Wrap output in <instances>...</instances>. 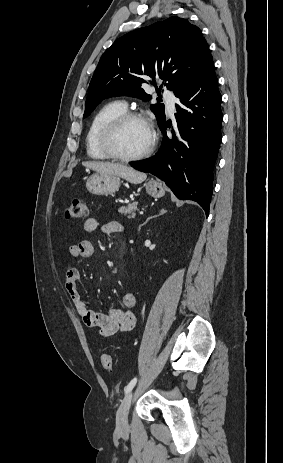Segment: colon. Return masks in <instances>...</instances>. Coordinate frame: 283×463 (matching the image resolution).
<instances>
[{
    "instance_id": "colon-1",
    "label": "colon",
    "mask_w": 283,
    "mask_h": 463,
    "mask_svg": "<svg viewBox=\"0 0 283 463\" xmlns=\"http://www.w3.org/2000/svg\"><path fill=\"white\" fill-rule=\"evenodd\" d=\"M88 215V206L85 200L75 199L65 210L66 219H83ZM101 363L105 370L113 369V358L110 354H103Z\"/></svg>"
}]
</instances>
